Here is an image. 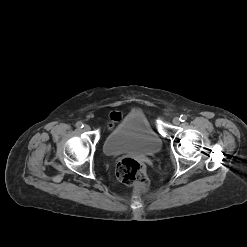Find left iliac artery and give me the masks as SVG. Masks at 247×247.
<instances>
[{"mask_svg": "<svg viewBox=\"0 0 247 247\" xmlns=\"http://www.w3.org/2000/svg\"><path fill=\"white\" fill-rule=\"evenodd\" d=\"M187 120V116L186 115H181L180 116V121L181 122H184V121H186Z\"/></svg>", "mask_w": 247, "mask_h": 247, "instance_id": "44dca946", "label": "left iliac artery"}]
</instances>
